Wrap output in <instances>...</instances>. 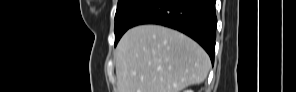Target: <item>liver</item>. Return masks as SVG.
I'll return each mask as SVG.
<instances>
[{
    "mask_svg": "<svg viewBox=\"0 0 296 92\" xmlns=\"http://www.w3.org/2000/svg\"><path fill=\"white\" fill-rule=\"evenodd\" d=\"M115 57L118 92H180L202 83L211 66L195 41L159 25L129 29Z\"/></svg>",
    "mask_w": 296,
    "mask_h": 92,
    "instance_id": "1",
    "label": "liver"
}]
</instances>
